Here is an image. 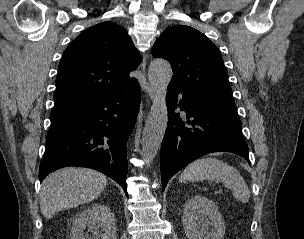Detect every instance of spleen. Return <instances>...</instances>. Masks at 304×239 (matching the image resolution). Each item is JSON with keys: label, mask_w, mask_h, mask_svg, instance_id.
<instances>
[{"label": "spleen", "mask_w": 304, "mask_h": 239, "mask_svg": "<svg viewBox=\"0 0 304 239\" xmlns=\"http://www.w3.org/2000/svg\"><path fill=\"white\" fill-rule=\"evenodd\" d=\"M180 181L222 182L224 186L233 191L234 197L247 203L250 191L237 169L216 158H201L189 164L181 173Z\"/></svg>", "instance_id": "obj_1"}]
</instances>
